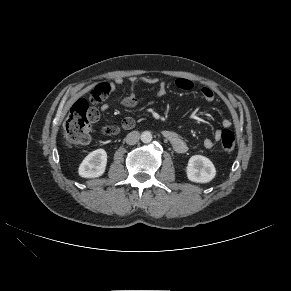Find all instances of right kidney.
<instances>
[{
    "label": "right kidney",
    "instance_id": "1",
    "mask_svg": "<svg viewBox=\"0 0 291 291\" xmlns=\"http://www.w3.org/2000/svg\"><path fill=\"white\" fill-rule=\"evenodd\" d=\"M106 164V151L97 149L84 158L79 166L78 173L83 178H96L105 172Z\"/></svg>",
    "mask_w": 291,
    "mask_h": 291
}]
</instances>
